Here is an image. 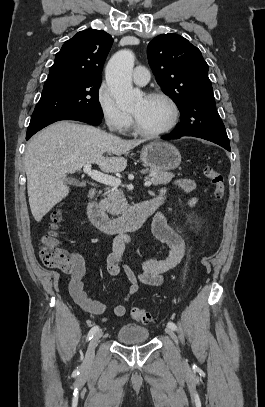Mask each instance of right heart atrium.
<instances>
[{
    "instance_id": "1",
    "label": "right heart atrium",
    "mask_w": 265,
    "mask_h": 407,
    "mask_svg": "<svg viewBox=\"0 0 265 407\" xmlns=\"http://www.w3.org/2000/svg\"><path fill=\"white\" fill-rule=\"evenodd\" d=\"M96 101L104 121L111 129L119 133H124L129 129L132 123L131 116L118 107L105 83L98 87Z\"/></svg>"
}]
</instances>
